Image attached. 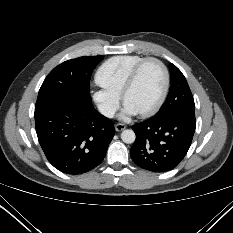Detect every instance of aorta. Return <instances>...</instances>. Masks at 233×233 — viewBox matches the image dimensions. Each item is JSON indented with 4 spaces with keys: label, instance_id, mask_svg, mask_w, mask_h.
<instances>
[{
    "label": "aorta",
    "instance_id": "1",
    "mask_svg": "<svg viewBox=\"0 0 233 233\" xmlns=\"http://www.w3.org/2000/svg\"><path fill=\"white\" fill-rule=\"evenodd\" d=\"M135 132L131 129H126L121 133V139L124 143L131 144L135 141Z\"/></svg>",
    "mask_w": 233,
    "mask_h": 233
}]
</instances>
